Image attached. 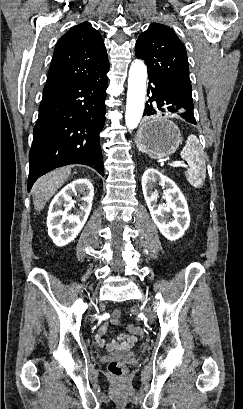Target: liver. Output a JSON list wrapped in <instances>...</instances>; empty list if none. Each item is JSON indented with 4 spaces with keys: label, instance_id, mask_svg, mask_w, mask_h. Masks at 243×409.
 <instances>
[{
    "label": "liver",
    "instance_id": "1",
    "mask_svg": "<svg viewBox=\"0 0 243 409\" xmlns=\"http://www.w3.org/2000/svg\"><path fill=\"white\" fill-rule=\"evenodd\" d=\"M71 167H61L39 178L32 188L33 205L37 212L43 210L48 200L67 181Z\"/></svg>",
    "mask_w": 243,
    "mask_h": 409
}]
</instances>
